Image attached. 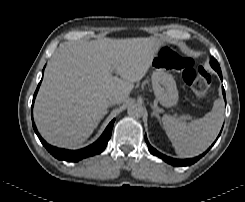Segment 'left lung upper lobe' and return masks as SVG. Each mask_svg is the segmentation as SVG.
I'll return each instance as SVG.
<instances>
[{
	"mask_svg": "<svg viewBox=\"0 0 245 202\" xmlns=\"http://www.w3.org/2000/svg\"><path fill=\"white\" fill-rule=\"evenodd\" d=\"M210 65L212 66V68L218 73V74H221V69H220V66L217 62V60L215 58H211L210 60Z\"/></svg>",
	"mask_w": 245,
	"mask_h": 202,
	"instance_id": "obj_1",
	"label": "left lung upper lobe"
}]
</instances>
